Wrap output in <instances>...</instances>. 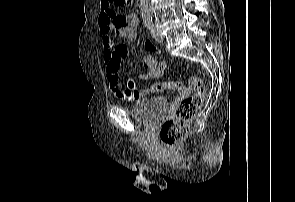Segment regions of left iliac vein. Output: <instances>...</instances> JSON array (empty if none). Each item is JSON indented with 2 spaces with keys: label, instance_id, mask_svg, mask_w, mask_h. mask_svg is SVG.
<instances>
[{
  "label": "left iliac vein",
  "instance_id": "4c4485c4",
  "mask_svg": "<svg viewBox=\"0 0 295 202\" xmlns=\"http://www.w3.org/2000/svg\"><path fill=\"white\" fill-rule=\"evenodd\" d=\"M152 33L157 42L161 43L164 41V36L158 29L155 28L154 25H152Z\"/></svg>",
  "mask_w": 295,
  "mask_h": 202
}]
</instances>
